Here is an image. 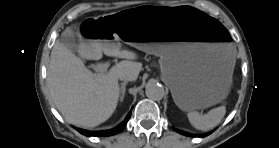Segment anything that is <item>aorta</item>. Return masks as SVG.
Listing matches in <instances>:
<instances>
[{
  "label": "aorta",
  "instance_id": "1",
  "mask_svg": "<svg viewBox=\"0 0 279 148\" xmlns=\"http://www.w3.org/2000/svg\"><path fill=\"white\" fill-rule=\"evenodd\" d=\"M146 96L152 100H160L165 95L163 86L155 82H149L145 89Z\"/></svg>",
  "mask_w": 279,
  "mask_h": 148
}]
</instances>
